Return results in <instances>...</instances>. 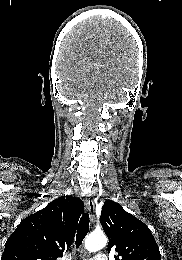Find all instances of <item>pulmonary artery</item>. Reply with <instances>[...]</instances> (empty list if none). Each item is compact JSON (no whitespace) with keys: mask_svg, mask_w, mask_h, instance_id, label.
<instances>
[{"mask_svg":"<svg viewBox=\"0 0 182 260\" xmlns=\"http://www.w3.org/2000/svg\"><path fill=\"white\" fill-rule=\"evenodd\" d=\"M85 260H108L107 256L103 253H98L96 254L93 258L91 259H85Z\"/></svg>","mask_w":182,"mask_h":260,"instance_id":"e3ab8cb5","label":"pulmonary artery"}]
</instances>
